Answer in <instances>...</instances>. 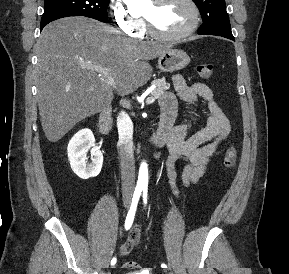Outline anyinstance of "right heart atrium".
<instances>
[{
	"mask_svg": "<svg viewBox=\"0 0 289 274\" xmlns=\"http://www.w3.org/2000/svg\"><path fill=\"white\" fill-rule=\"evenodd\" d=\"M110 13L120 32L131 37H139L142 34L143 21L130 14L123 0H110Z\"/></svg>",
	"mask_w": 289,
	"mask_h": 274,
	"instance_id": "obj_1",
	"label": "right heart atrium"
}]
</instances>
